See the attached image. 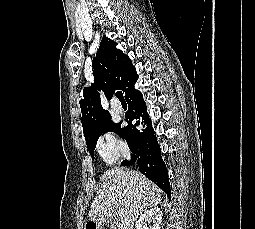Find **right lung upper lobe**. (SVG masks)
Masks as SVG:
<instances>
[{
    "instance_id": "right-lung-upper-lobe-1",
    "label": "right lung upper lobe",
    "mask_w": 255,
    "mask_h": 229,
    "mask_svg": "<svg viewBox=\"0 0 255 229\" xmlns=\"http://www.w3.org/2000/svg\"><path fill=\"white\" fill-rule=\"evenodd\" d=\"M116 45V42L103 36L92 61L95 84L83 91V97L79 101L85 140L90 139L97 128L111 118L109 112L102 108L97 90L102 89L108 100L115 90L125 92L134 69L130 58L118 50Z\"/></svg>"
}]
</instances>
